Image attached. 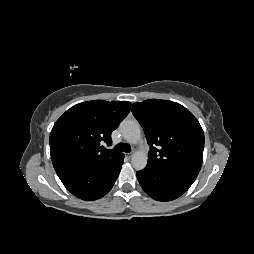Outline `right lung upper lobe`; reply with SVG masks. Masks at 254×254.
Returning <instances> with one entry per match:
<instances>
[{
    "mask_svg": "<svg viewBox=\"0 0 254 254\" xmlns=\"http://www.w3.org/2000/svg\"><path fill=\"white\" fill-rule=\"evenodd\" d=\"M128 101L93 100L68 109L50 133V152L54 169L77 164L108 161L121 153L103 151L101 144L111 145V133L130 111Z\"/></svg>",
    "mask_w": 254,
    "mask_h": 254,
    "instance_id": "right-lung-upper-lobe-1",
    "label": "right lung upper lobe"
}]
</instances>
